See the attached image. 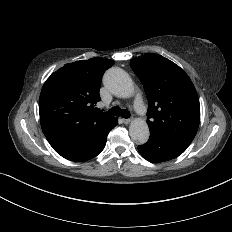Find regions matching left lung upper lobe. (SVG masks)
Masks as SVG:
<instances>
[{"instance_id": "5c2ea615", "label": "left lung upper lobe", "mask_w": 232, "mask_h": 232, "mask_svg": "<svg viewBox=\"0 0 232 232\" xmlns=\"http://www.w3.org/2000/svg\"><path fill=\"white\" fill-rule=\"evenodd\" d=\"M130 66L144 86L148 99L150 133L187 148L200 122V104L188 75L158 54L134 58Z\"/></svg>"}]
</instances>
